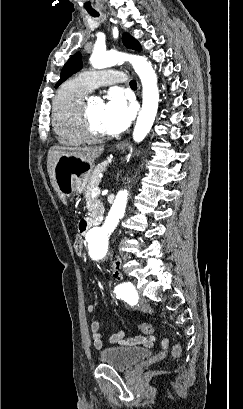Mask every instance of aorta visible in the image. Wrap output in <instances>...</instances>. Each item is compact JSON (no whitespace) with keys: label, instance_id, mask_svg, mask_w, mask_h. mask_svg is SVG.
<instances>
[{"label":"aorta","instance_id":"aorta-1","mask_svg":"<svg viewBox=\"0 0 243 409\" xmlns=\"http://www.w3.org/2000/svg\"><path fill=\"white\" fill-rule=\"evenodd\" d=\"M123 61H129L132 64L142 83V109L133 131V139L139 143L150 132L158 110L157 75L151 63L145 57L126 55L116 51H94L90 58V63L95 69L114 66ZM127 196V190L119 191L104 223L89 229L86 234L89 248L96 246L102 252L107 251L108 238L124 216Z\"/></svg>","mask_w":243,"mask_h":409}]
</instances>
